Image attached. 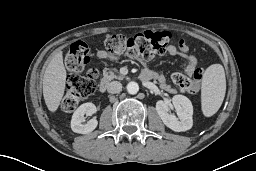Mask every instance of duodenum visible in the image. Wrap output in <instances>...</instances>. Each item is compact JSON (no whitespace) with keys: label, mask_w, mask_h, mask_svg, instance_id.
Returning <instances> with one entry per match:
<instances>
[{"label":"duodenum","mask_w":256,"mask_h":171,"mask_svg":"<svg viewBox=\"0 0 256 171\" xmlns=\"http://www.w3.org/2000/svg\"><path fill=\"white\" fill-rule=\"evenodd\" d=\"M109 78H103L99 84V91L105 92L107 90L108 84H109Z\"/></svg>","instance_id":"duodenum-1"}]
</instances>
